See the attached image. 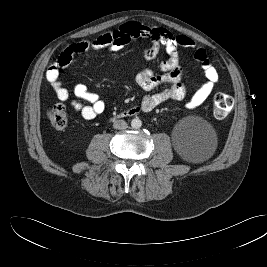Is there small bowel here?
<instances>
[{
	"label": "small bowel",
	"mask_w": 267,
	"mask_h": 267,
	"mask_svg": "<svg viewBox=\"0 0 267 267\" xmlns=\"http://www.w3.org/2000/svg\"><path fill=\"white\" fill-rule=\"evenodd\" d=\"M143 37L151 40V46L144 51V59L153 61L161 47H164L167 58L160 62L161 73L157 74L151 68H144L136 73V83L148 93L142 98L140 107L143 111H151L168 100H183L187 89L182 82V67L180 65V49L194 50V57L204 69L206 81L194 92L186 103L187 109H195L203 104L214 91L219 75L207 52L198 48L195 42L184 35H174L165 28L146 25L131 21L122 24L115 30L103 33L91 40L74 43L66 47L55 59L46 72V80L55 90L59 100H70L72 108L87 120L94 119L105 111V103L100 96L90 91L85 84L77 83L69 91L60 80V70L66 68L74 55L90 49L116 52L134 38Z\"/></svg>",
	"instance_id": "1"
}]
</instances>
